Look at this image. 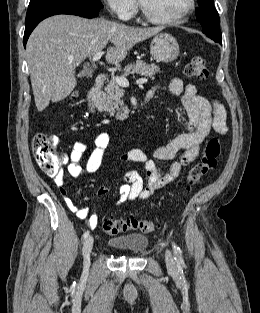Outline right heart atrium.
Instances as JSON below:
<instances>
[{"mask_svg":"<svg viewBox=\"0 0 260 313\" xmlns=\"http://www.w3.org/2000/svg\"><path fill=\"white\" fill-rule=\"evenodd\" d=\"M111 14L120 18L128 19L135 11L134 0H104Z\"/></svg>","mask_w":260,"mask_h":313,"instance_id":"right-heart-atrium-1","label":"right heart atrium"}]
</instances>
